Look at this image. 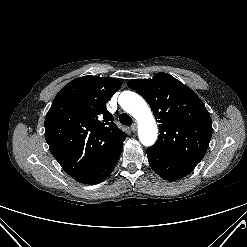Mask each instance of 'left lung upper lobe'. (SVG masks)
Returning <instances> with one entry per match:
<instances>
[{"label": "left lung upper lobe", "mask_w": 247, "mask_h": 247, "mask_svg": "<svg viewBox=\"0 0 247 247\" xmlns=\"http://www.w3.org/2000/svg\"><path fill=\"white\" fill-rule=\"evenodd\" d=\"M127 85L150 105L159 138L153 148L175 158L199 163L212 136V120L200 98L166 73L153 79H134Z\"/></svg>", "instance_id": "obj_1"}]
</instances>
